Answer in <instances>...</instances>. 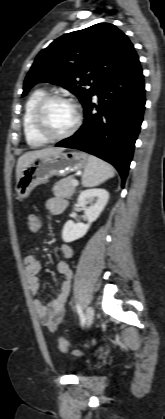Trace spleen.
<instances>
[{"label": "spleen", "instance_id": "obj_1", "mask_svg": "<svg viewBox=\"0 0 165 419\" xmlns=\"http://www.w3.org/2000/svg\"><path fill=\"white\" fill-rule=\"evenodd\" d=\"M115 176L113 167L103 160L89 156L82 176V184L85 187L98 186Z\"/></svg>", "mask_w": 165, "mask_h": 419}]
</instances>
